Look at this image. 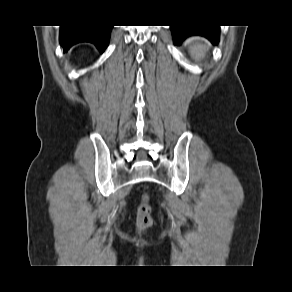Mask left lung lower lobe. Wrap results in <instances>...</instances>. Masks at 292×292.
Masks as SVG:
<instances>
[{
	"label": "left lung lower lobe",
	"instance_id": "1",
	"mask_svg": "<svg viewBox=\"0 0 292 292\" xmlns=\"http://www.w3.org/2000/svg\"><path fill=\"white\" fill-rule=\"evenodd\" d=\"M174 41L180 44L183 39L190 35H203L211 40L213 44H217L219 39L218 26L210 25H175L171 26Z\"/></svg>",
	"mask_w": 292,
	"mask_h": 292
}]
</instances>
